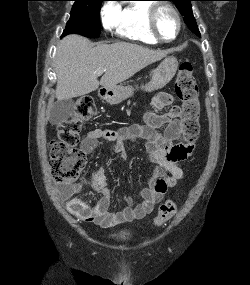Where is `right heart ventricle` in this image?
Masks as SVG:
<instances>
[{
    "label": "right heart ventricle",
    "mask_w": 250,
    "mask_h": 285,
    "mask_svg": "<svg viewBox=\"0 0 250 285\" xmlns=\"http://www.w3.org/2000/svg\"><path fill=\"white\" fill-rule=\"evenodd\" d=\"M153 3L137 0L120 9L116 28L118 35L124 39L145 45H157L148 30V15Z\"/></svg>",
    "instance_id": "1"
}]
</instances>
